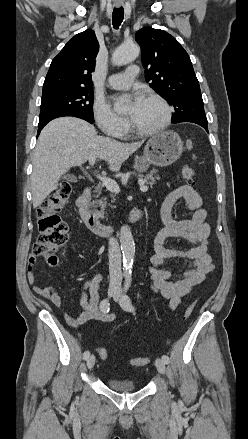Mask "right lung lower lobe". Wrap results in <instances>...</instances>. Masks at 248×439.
Segmentation results:
<instances>
[{
  "label": "right lung lower lobe",
  "instance_id": "obj_1",
  "mask_svg": "<svg viewBox=\"0 0 248 439\" xmlns=\"http://www.w3.org/2000/svg\"><path fill=\"white\" fill-rule=\"evenodd\" d=\"M63 116H73V117L81 118V119H83V120H86V121L89 122V123H93V122H94V119L89 118V117H87V116H85V115H81V114H74V113H70V114H60V115H56V116H54V117H51V118H48V119H44V120L39 121V124H38V134H37V136L39 135V133H40V131L42 130V128H43L48 122H50L51 120H53V119H55V118L63 117Z\"/></svg>",
  "mask_w": 248,
  "mask_h": 439
}]
</instances>
